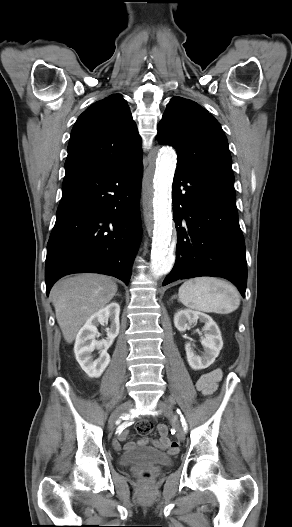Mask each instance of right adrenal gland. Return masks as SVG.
<instances>
[{"mask_svg": "<svg viewBox=\"0 0 292 527\" xmlns=\"http://www.w3.org/2000/svg\"><path fill=\"white\" fill-rule=\"evenodd\" d=\"M116 296H121V295L119 293H117Z\"/></svg>", "mask_w": 292, "mask_h": 527, "instance_id": "obj_1", "label": "right adrenal gland"}]
</instances>
